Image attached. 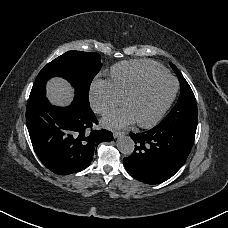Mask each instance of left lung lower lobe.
<instances>
[{"instance_id":"0a47b994","label":"left lung lower lobe","mask_w":228,"mask_h":228,"mask_svg":"<svg viewBox=\"0 0 228 228\" xmlns=\"http://www.w3.org/2000/svg\"><path fill=\"white\" fill-rule=\"evenodd\" d=\"M196 128L161 127L130 133L134 152L123 159L127 172L147 184L171 178L185 163L194 143Z\"/></svg>"}]
</instances>
